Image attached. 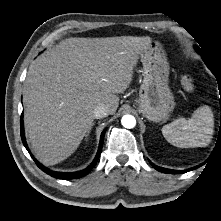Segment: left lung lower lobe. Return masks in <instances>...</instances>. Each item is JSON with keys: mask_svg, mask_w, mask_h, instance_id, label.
I'll use <instances>...</instances> for the list:
<instances>
[{"mask_svg": "<svg viewBox=\"0 0 221 221\" xmlns=\"http://www.w3.org/2000/svg\"><path fill=\"white\" fill-rule=\"evenodd\" d=\"M203 57V55H202ZM221 119V118H220ZM150 164L158 171L160 172H163V173H168V174H176V173H186L188 171H191V170H194L196 169L198 166L196 167H193V168H190V169H187V170H181V171H178V170H170V169H166V168H162V167H159V166H156L154 165L152 162H150Z\"/></svg>", "mask_w": 221, "mask_h": 221, "instance_id": "1", "label": "left lung lower lobe"}]
</instances>
